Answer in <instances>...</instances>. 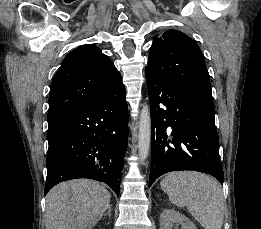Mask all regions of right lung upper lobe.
<instances>
[{
    "instance_id": "cb5924a9",
    "label": "right lung upper lobe",
    "mask_w": 261,
    "mask_h": 229,
    "mask_svg": "<svg viewBox=\"0 0 261 229\" xmlns=\"http://www.w3.org/2000/svg\"><path fill=\"white\" fill-rule=\"evenodd\" d=\"M121 79L118 70L98 47L87 44L71 51L51 84L49 127L98 98Z\"/></svg>"
}]
</instances>
